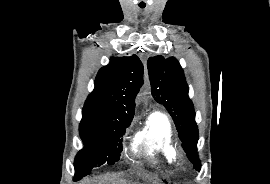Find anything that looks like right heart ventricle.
Masks as SVG:
<instances>
[{"instance_id": "e07e8e85", "label": "right heart ventricle", "mask_w": 270, "mask_h": 184, "mask_svg": "<svg viewBox=\"0 0 270 184\" xmlns=\"http://www.w3.org/2000/svg\"><path fill=\"white\" fill-rule=\"evenodd\" d=\"M131 150L155 162L172 164L176 159L177 149L169 117L160 111L150 113L133 136Z\"/></svg>"}]
</instances>
